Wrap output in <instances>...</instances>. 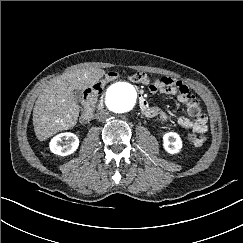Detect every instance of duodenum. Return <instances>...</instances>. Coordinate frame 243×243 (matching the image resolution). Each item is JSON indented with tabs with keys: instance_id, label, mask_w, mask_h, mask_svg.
Here are the masks:
<instances>
[{
	"instance_id": "duodenum-1",
	"label": "duodenum",
	"mask_w": 243,
	"mask_h": 243,
	"mask_svg": "<svg viewBox=\"0 0 243 243\" xmlns=\"http://www.w3.org/2000/svg\"><path fill=\"white\" fill-rule=\"evenodd\" d=\"M139 103H140L141 110L143 112L148 110V104H147L145 98L143 96H141V95H139ZM98 107L99 108L103 107V102L102 101L98 104Z\"/></svg>"
}]
</instances>
